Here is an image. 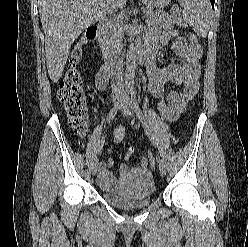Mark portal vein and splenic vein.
Instances as JSON below:
<instances>
[{
  "label": "portal vein and splenic vein",
  "instance_id": "18ae733b",
  "mask_svg": "<svg viewBox=\"0 0 248 247\" xmlns=\"http://www.w3.org/2000/svg\"><path fill=\"white\" fill-rule=\"evenodd\" d=\"M144 10V9H143ZM176 13H179V10L178 9H176Z\"/></svg>",
  "mask_w": 248,
  "mask_h": 247
}]
</instances>
